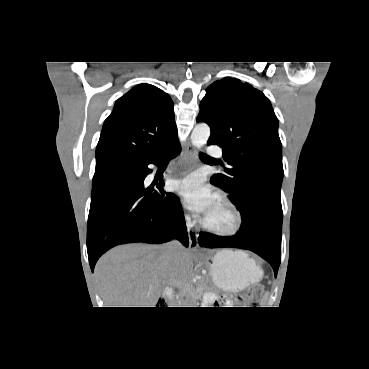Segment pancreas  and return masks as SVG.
I'll list each match as a JSON object with an SVG mask.
<instances>
[{
    "label": "pancreas",
    "mask_w": 369,
    "mask_h": 369,
    "mask_svg": "<svg viewBox=\"0 0 369 369\" xmlns=\"http://www.w3.org/2000/svg\"><path fill=\"white\" fill-rule=\"evenodd\" d=\"M203 290H204L203 284L202 283L198 284L196 291L191 293L190 297H188V299L186 300V303L190 302L189 298H193L194 300H196V298H199L203 293Z\"/></svg>",
    "instance_id": "pancreas-1"
}]
</instances>
